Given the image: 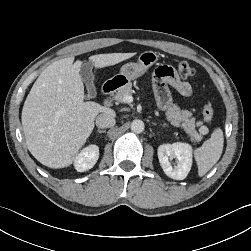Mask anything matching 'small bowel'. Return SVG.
<instances>
[{"mask_svg":"<svg viewBox=\"0 0 251 251\" xmlns=\"http://www.w3.org/2000/svg\"><path fill=\"white\" fill-rule=\"evenodd\" d=\"M169 86L184 97L191 96L193 92L191 84L181 80L172 67L161 66L155 70L153 76V88L159 109L164 110L170 104Z\"/></svg>","mask_w":251,"mask_h":251,"instance_id":"1","label":"small bowel"}]
</instances>
